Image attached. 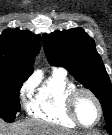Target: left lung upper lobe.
<instances>
[{"label": "left lung upper lobe", "instance_id": "obj_1", "mask_svg": "<svg viewBox=\"0 0 112 135\" xmlns=\"http://www.w3.org/2000/svg\"><path fill=\"white\" fill-rule=\"evenodd\" d=\"M50 65L62 66L99 99L106 125L112 124V84L94 40L82 29L55 31L42 36Z\"/></svg>", "mask_w": 112, "mask_h": 135}]
</instances>
